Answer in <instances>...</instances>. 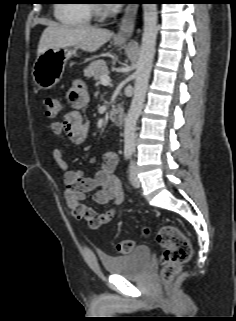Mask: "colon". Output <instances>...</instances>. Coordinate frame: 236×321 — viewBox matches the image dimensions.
Here are the masks:
<instances>
[{
  "instance_id": "1",
  "label": "colon",
  "mask_w": 236,
  "mask_h": 321,
  "mask_svg": "<svg viewBox=\"0 0 236 321\" xmlns=\"http://www.w3.org/2000/svg\"><path fill=\"white\" fill-rule=\"evenodd\" d=\"M45 113L50 118L58 116L61 110L60 101L55 97L44 99ZM144 234L149 233L148 228H144ZM156 242L163 248L162 278L169 282L181 271L182 266L191 256V244L186 236L175 226L165 225L160 227L155 235ZM133 242L130 240L119 241L116 250L121 254L131 252Z\"/></svg>"
}]
</instances>
